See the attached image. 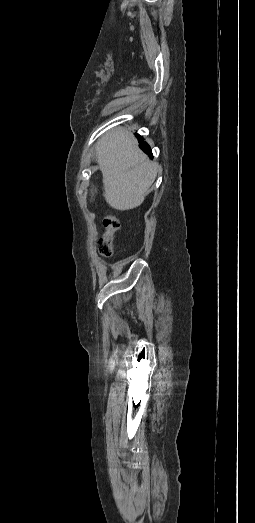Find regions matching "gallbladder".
<instances>
[{
    "label": "gallbladder",
    "mask_w": 255,
    "mask_h": 523,
    "mask_svg": "<svg viewBox=\"0 0 255 523\" xmlns=\"http://www.w3.org/2000/svg\"><path fill=\"white\" fill-rule=\"evenodd\" d=\"M95 160H97L96 156H94Z\"/></svg>",
    "instance_id": "gallbladder-1"
}]
</instances>
